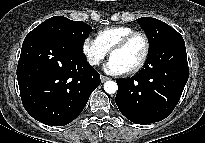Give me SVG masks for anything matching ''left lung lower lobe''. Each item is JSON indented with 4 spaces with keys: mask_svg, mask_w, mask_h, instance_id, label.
Masks as SVG:
<instances>
[{
    "mask_svg": "<svg viewBox=\"0 0 205 143\" xmlns=\"http://www.w3.org/2000/svg\"><path fill=\"white\" fill-rule=\"evenodd\" d=\"M161 54L163 58L157 59ZM153 55V67L142 69L132 78L116 80V105L137 124L165 119L179 102L188 80L186 48L180 34L164 40Z\"/></svg>",
    "mask_w": 205,
    "mask_h": 143,
    "instance_id": "0a47b994",
    "label": "left lung lower lobe"
}]
</instances>
